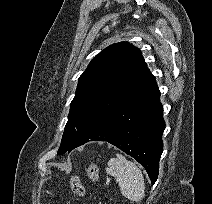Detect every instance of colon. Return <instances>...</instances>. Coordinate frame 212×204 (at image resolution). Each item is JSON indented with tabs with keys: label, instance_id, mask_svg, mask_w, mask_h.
<instances>
[{
	"label": "colon",
	"instance_id": "5ec220e1",
	"mask_svg": "<svg viewBox=\"0 0 212 204\" xmlns=\"http://www.w3.org/2000/svg\"><path fill=\"white\" fill-rule=\"evenodd\" d=\"M86 172L91 181L96 182L99 177L98 167L95 163L91 162L86 167ZM71 190L79 197L85 196V188L81 182V179L77 175H73L70 180Z\"/></svg>",
	"mask_w": 212,
	"mask_h": 204
}]
</instances>
